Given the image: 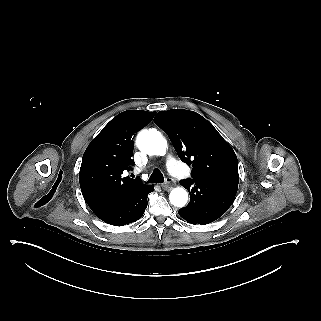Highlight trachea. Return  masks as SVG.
Masks as SVG:
<instances>
[{"label":"trachea","mask_w":321,"mask_h":321,"mask_svg":"<svg viewBox=\"0 0 321 321\" xmlns=\"http://www.w3.org/2000/svg\"><path fill=\"white\" fill-rule=\"evenodd\" d=\"M163 182H164L163 174L158 168H155L146 183L153 184V183H163Z\"/></svg>","instance_id":"3493384b"}]
</instances>
